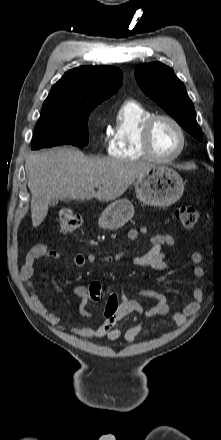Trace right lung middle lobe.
<instances>
[{"label":"right lung middle lobe","mask_w":221,"mask_h":440,"mask_svg":"<svg viewBox=\"0 0 221 440\" xmlns=\"http://www.w3.org/2000/svg\"><path fill=\"white\" fill-rule=\"evenodd\" d=\"M97 105H70L44 102L36 124L32 150L70 144H88V118Z\"/></svg>","instance_id":"right-lung-middle-lobe-1"}]
</instances>
